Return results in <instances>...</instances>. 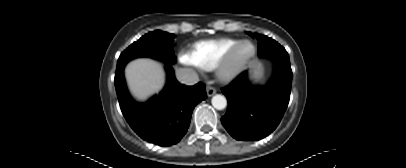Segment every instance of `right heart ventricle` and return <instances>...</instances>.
Wrapping results in <instances>:
<instances>
[{
	"label": "right heart ventricle",
	"mask_w": 406,
	"mask_h": 168,
	"mask_svg": "<svg viewBox=\"0 0 406 168\" xmlns=\"http://www.w3.org/2000/svg\"><path fill=\"white\" fill-rule=\"evenodd\" d=\"M238 41L229 37L200 40L189 47L186 57L192 65L200 69L213 70Z\"/></svg>",
	"instance_id": "obj_1"
}]
</instances>
